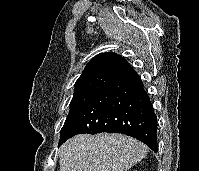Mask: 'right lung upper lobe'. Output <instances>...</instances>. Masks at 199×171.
Segmentation results:
<instances>
[{
    "label": "right lung upper lobe",
    "instance_id": "cb5924a9",
    "mask_svg": "<svg viewBox=\"0 0 199 171\" xmlns=\"http://www.w3.org/2000/svg\"><path fill=\"white\" fill-rule=\"evenodd\" d=\"M129 68H131V66L122 56L113 52L101 53L91 59L86 65L81 76L76 81L75 86L98 75L115 77Z\"/></svg>",
    "mask_w": 199,
    "mask_h": 171
}]
</instances>
